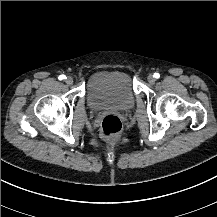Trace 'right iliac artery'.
Segmentation results:
<instances>
[{
	"label": "right iliac artery",
	"instance_id": "1",
	"mask_svg": "<svg viewBox=\"0 0 217 217\" xmlns=\"http://www.w3.org/2000/svg\"><path fill=\"white\" fill-rule=\"evenodd\" d=\"M67 77L65 76V75H60L59 77H58V79L59 80H63V79H66Z\"/></svg>",
	"mask_w": 217,
	"mask_h": 217
}]
</instances>
